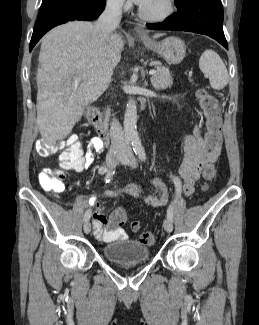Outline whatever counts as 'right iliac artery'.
Listing matches in <instances>:
<instances>
[{
    "label": "right iliac artery",
    "mask_w": 259,
    "mask_h": 325,
    "mask_svg": "<svg viewBox=\"0 0 259 325\" xmlns=\"http://www.w3.org/2000/svg\"><path fill=\"white\" fill-rule=\"evenodd\" d=\"M108 169L105 166H101L98 170L99 174H105ZM91 217V210L88 209L84 214V221H88Z\"/></svg>",
    "instance_id": "obj_1"
}]
</instances>
